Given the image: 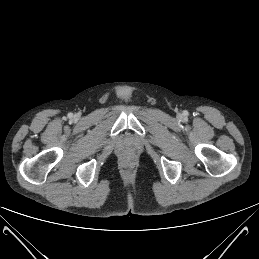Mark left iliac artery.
I'll list each match as a JSON object with an SVG mask.
<instances>
[{
	"label": "left iliac artery",
	"mask_w": 259,
	"mask_h": 259,
	"mask_svg": "<svg viewBox=\"0 0 259 259\" xmlns=\"http://www.w3.org/2000/svg\"><path fill=\"white\" fill-rule=\"evenodd\" d=\"M184 115H185V116L188 115V112H187V111H184Z\"/></svg>",
	"instance_id": "1"
}]
</instances>
